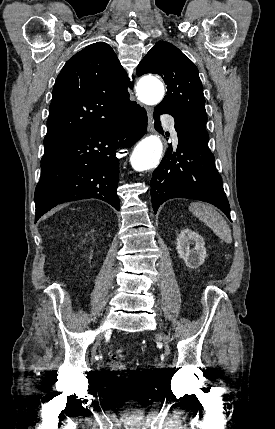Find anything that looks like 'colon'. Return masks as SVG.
Here are the masks:
<instances>
[{
    "label": "colon",
    "mask_w": 275,
    "mask_h": 429,
    "mask_svg": "<svg viewBox=\"0 0 275 429\" xmlns=\"http://www.w3.org/2000/svg\"><path fill=\"white\" fill-rule=\"evenodd\" d=\"M125 357H126V350L122 347L114 349L109 355V361L114 367V372L117 377L127 376V372L122 366V363Z\"/></svg>",
    "instance_id": "obj_1"
}]
</instances>
